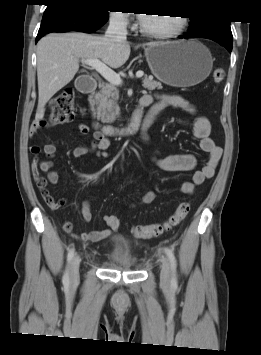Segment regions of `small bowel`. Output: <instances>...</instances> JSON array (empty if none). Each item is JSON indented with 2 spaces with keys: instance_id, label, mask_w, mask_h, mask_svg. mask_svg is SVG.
<instances>
[{
  "instance_id": "1",
  "label": "small bowel",
  "mask_w": 261,
  "mask_h": 355,
  "mask_svg": "<svg viewBox=\"0 0 261 355\" xmlns=\"http://www.w3.org/2000/svg\"><path fill=\"white\" fill-rule=\"evenodd\" d=\"M154 98L156 102H154ZM151 106L149 112L144 118V130L152 123V120L156 114L164 108L171 107L177 108L191 114H196V108L192 102L179 95L170 94H156L144 95L139 103V107L136 111L140 112L142 115V110L146 107ZM40 128L37 121L33 122L30 127V136H33L36 131ZM81 135H87L90 131L87 124L81 123L78 126ZM211 125L206 116L196 115L193 123V134L196 138L200 140V147L202 151L207 154L206 163L200 170H196L193 173L192 179L190 181H184L180 190L184 194L191 195L194 192L196 186L202 184L206 179H210L214 176L215 169L222 155V150L217 146L210 136ZM147 140V137H144ZM110 145V139L104 136L100 131H95L92 134V141L89 145H81L73 150V156L75 158H81L88 154L94 155L96 157L107 158L108 154L105 150ZM30 153L33 155L32 159V177L41 191L42 197L48 207L52 210H57L64 206L65 200L60 199L56 201L54 197L47 190V184H56L59 181V175L57 171L53 169V158L55 157L57 147L54 143H48L43 147L39 145H32L29 148ZM44 153L46 159H41L39 155ZM155 164L158 168L163 171L168 172H179V171H192L195 169L197 164V159L193 154H175L168 155L163 158L155 159ZM41 172H46L47 177L44 178ZM156 197L154 191L146 192L141 202L142 204L151 203ZM134 206V205H132ZM80 211L82 218L85 222H89L92 218L90 202L84 200L80 205ZM104 222L108 225L109 229L101 231H88L77 233L73 229V225L70 221H63L62 229L71 234L74 238L79 239L87 243H97L105 238H107L112 231H117L120 227V222L118 218L113 214H105L103 216Z\"/></svg>"
}]
</instances>
